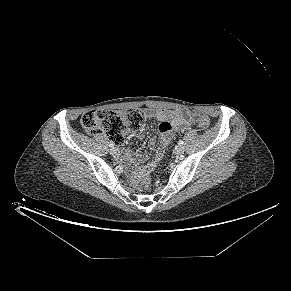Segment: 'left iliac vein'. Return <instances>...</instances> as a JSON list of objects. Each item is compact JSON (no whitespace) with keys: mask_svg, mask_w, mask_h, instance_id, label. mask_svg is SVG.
I'll list each match as a JSON object with an SVG mask.
<instances>
[{"mask_svg":"<svg viewBox=\"0 0 291 291\" xmlns=\"http://www.w3.org/2000/svg\"><path fill=\"white\" fill-rule=\"evenodd\" d=\"M174 153L176 155H181L184 153V147L182 146H176L175 149H174Z\"/></svg>","mask_w":291,"mask_h":291,"instance_id":"1","label":"left iliac vein"}]
</instances>
